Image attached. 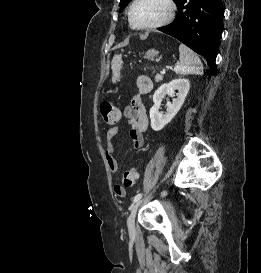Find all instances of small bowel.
I'll use <instances>...</instances> for the list:
<instances>
[{
    "instance_id": "c3829d8e",
    "label": "small bowel",
    "mask_w": 261,
    "mask_h": 273,
    "mask_svg": "<svg viewBox=\"0 0 261 273\" xmlns=\"http://www.w3.org/2000/svg\"><path fill=\"white\" fill-rule=\"evenodd\" d=\"M136 86L138 88V93L132 98L130 105L123 109L122 114L126 119V122L131 126L130 137L133 141L134 148L140 149L144 144L143 135L148 128V117L142 97L151 92L153 89V83L148 76H139L136 79ZM118 132L119 126L115 125L108 129L105 135V155L108 168L112 173L118 171V162L115 157L113 144V140ZM114 193L119 197L125 196V191L122 193L117 192L116 185L114 186Z\"/></svg>"
}]
</instances>
